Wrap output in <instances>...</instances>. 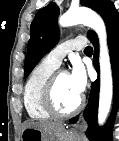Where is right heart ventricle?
Masks as SVG:
<instances>
[{
	"label": "right heart ventricle",
	"mask_w": 119,
	"mask_h": 141,
	"mask_svg": "<svg viewBox=\"0 0 119 141\" xmlns=\"http://www.w3.org/2000/svg\"><path fill=\"white\" fill-rule=\"evenodd\" d=\"M56 67L42 61L28 77L24 88V105L28 115L35 120H47L50 115L42 104V92L45 83Z\"/></svg>",
	"instance_id": "e07e8e85"
}]
</instances>
